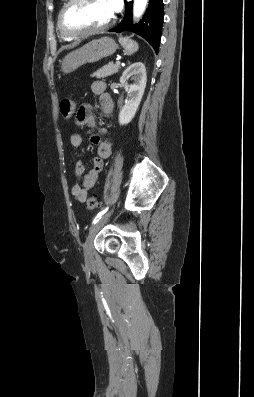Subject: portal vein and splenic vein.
<instances>
[{"label": "portal vein and splenic vein", "mask_w": 254, "mask_h": 397, "mask_svg": "<svg viewBox=\"0 0 254 397\" xmlns=\"http://www.w3.org/2000/svg\"><path fill=\"white\" fill-rule=\"evenodd\" d=\"M116 65H118V66H119V65H120V61H116Z\"/></svg>", "instance_id": "portal-vein-and-splenic-vein-1"}]
</instances>
